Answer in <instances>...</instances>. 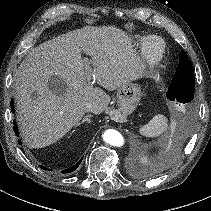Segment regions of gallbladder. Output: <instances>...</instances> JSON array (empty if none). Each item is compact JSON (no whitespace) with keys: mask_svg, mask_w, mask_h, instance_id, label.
<instances>
[{"mask_svg":"<svg viewBox=\"0 0 211 211\" xmlns=\"http://www.w3.org/2000/svg\"><path fill=\"white\" fill-rule=\"evenodd\" d=\"M62 85H63V82L61 79H59V77L53 76L50 78L49 87L52 90H55L56 93H60V90L57 89V86L62 87Z\"/></svg>","mask_w":211,"mask_h":211,"instance_id":"obj_1","label":"gallbladder"}]
</instances>
